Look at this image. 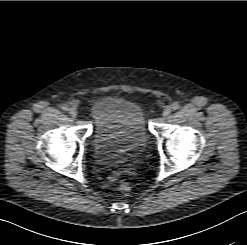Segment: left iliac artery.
<instances>
[{
  "label": "left iliac artery",
  "instance_id": "obj_1",
  "mask_svg": "<svg viewBox=\"0 0 247 245\" xmlns=\"http://www.w3.org/2000/svg\"><path fill=\"white\" fill-rule=\"evenodd\" d=\"M179 107H180V105H179L178 102L172 103V109H173V110H177V109H179Z\"/></svg>",
  "mask_w": 247,
  "mask_h": 245
}]
</instances>
